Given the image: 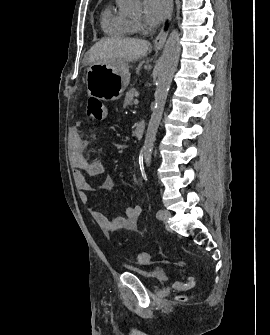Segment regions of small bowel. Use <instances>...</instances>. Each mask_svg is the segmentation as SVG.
Listing matches in <instances>:
<instances>
[{
    "label": "small bowel",
    "mask_w": 270,
    "mask_h": 335,
    "mask_svg": "<svg viewBox=\"0 0 270 335\" xmlns=\"http://www.w3.org/2000/svg\"><path fill=\"white\" fill-rule=\"evenodd\" d=\"M86 141L82 138L79 131L73 128L69 131L68 149L69 161L73 168V179L79 192V198L82 203H89L88 193L93 191V187L88 182L86 175L95 176L103 174L104 165L99 160H89L85 155ZM104 189L111 191L114 189L112 178L107 177L103 182ZM140 205L130 206L125 210L124 215L107 218L98 210L91 209V215L105 231H135L138 229L140 217L142 215Z\"/></svg>",
    "instance_id": "small-bowel-1"
}]
</instances>
